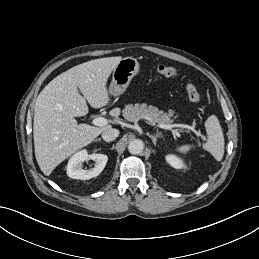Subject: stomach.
I'll return each mask as SVG.
<instances>
[{"label": "stomach", "mask_w": 259, "mask_h": 259, "mask_svg": "<svg viewBox=\"0 0 259 259\" xmlns=\"http://www.w3.org/2000/svg\"><path fill=\"white\" fill-rule=\"evenodd\" d=\"M140 65L133 57L121 59L113 69L109 93L119 96L127 89L132 78L139 72Z\"/></svg>", "instance_id": "stomach-1"}]
</instances>
